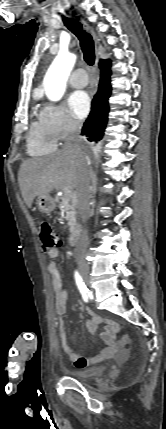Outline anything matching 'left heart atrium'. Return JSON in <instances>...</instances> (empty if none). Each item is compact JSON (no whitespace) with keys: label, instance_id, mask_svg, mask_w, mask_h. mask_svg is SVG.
Returning <instances> with one entry per match:
<instances>
[{"label":"left heart atrium","instance_id":"1","mask_svg":"<svg viewBox=\"0 0 166 429\" xmlns=\"http://www.w3.org/2000/svg\"><path fill=\"white\" fill-rule=\"evenodd\" d=\"M69 105L73 116L83 119L90 110V98L86 92L76 91L70 96Z\"/></svg>","mask_w":166,"mask_h":429}]
</instances>
